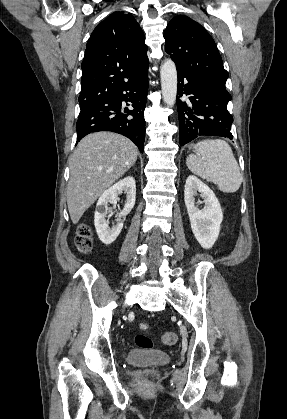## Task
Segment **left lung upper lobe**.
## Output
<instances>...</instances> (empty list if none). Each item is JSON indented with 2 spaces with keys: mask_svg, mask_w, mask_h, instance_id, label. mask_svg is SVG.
I'll list each match as a JSON object with an SVG mask.
<instances>
[{
  "mask_svg": "<svg viewBox=\"0 0 287 419\" xmlns=\"http://www.w3.org/2000/svg\"><path fill=\"white\" fill-rule=\"evenodd\" d=\"M165 50L176 64L178 74L225 85L228 72L208 32L187 16L174 17L164 33Z\"/></svg>",
  "mask_w": 287,
  "mask_h": 419,
  "instance_id": "5c2ea615",
  "label": "left lung upper lobe"
}]
</instances>
